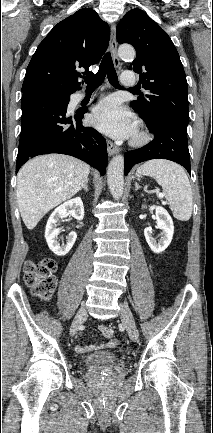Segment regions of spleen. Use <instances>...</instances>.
<instances>
[{"mask_svg": "<svg viewBox=\"0 0 213 433\" xmlns=\"http://www.w3.org/2000/svg\"><path fill=\"white\" fill-rule=\"evenodd\" d=\"M137 173L153 177L162 186L175 218L181 221L190 219L193 207L192 189L180 165L167 160H150L142 164Z\"/></svg>", "mask_w": 213, "mask_h": 433, "instance_id": "1", "label": "spleen"}]
</instances>
